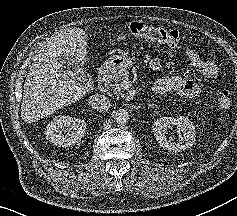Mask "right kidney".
Masks as SVG:
<instances>
[{
    "mask_svg": "<svg viewBox=\"0 0 237 216\" xmlns=\"http://www.w3.org/2000/svg\"><path fill=\"white\" fill-rule=\"evenodd\" d=\"M61 127H50L48 130V133H53V135H55V137L57 138L58 132L60 130ZM49 136V135H47ZM80 138L82 137V135L80 134L79 136Z\"/></svg>",
    "mask_w": 237,
    "mask_h": 216,
    "instance_id": "ca27d5eb",
    "label": "right kidney"
}]
</instances>
